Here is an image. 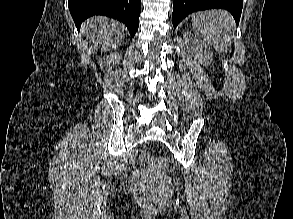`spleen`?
<instances>
[{"instance_id": "obj_1", "label": "spleen", "mask_w": 293, "mask_h": 219, "mask_svg": "<svg viewBox=\"0 0 293 219\" xmlns=\"http://www.w3.org/2000/svg\"><path fill=\"white\" fill-rule=\"evenodd\" d=\"M192 27L197 35L218 53H227L232 45L235 21L225 10H209L192 15Z\"/></svg>"}]
</instances>
